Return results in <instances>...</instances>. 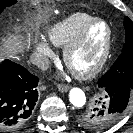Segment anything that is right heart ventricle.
<instances>
[{
	"instance_id": "1",
	"label": "right heart ventricle",
	"mask_w": 133,
	"mask_h": 133,
	"mask_svg": "<svg viewBox=\"0 0 133 133\" xmlns=\"http://www.w3.org/2000/svg\"><path fill=\"white\" fill-rule=\"evenodd\" d=\"M94 16L85 12L72 13L54 23L47 30L49 42L58 48H64Z\"/></svg>"
}]
</instances>
